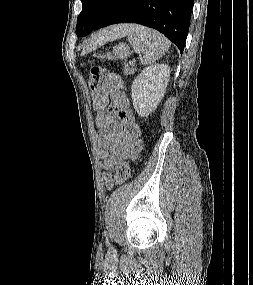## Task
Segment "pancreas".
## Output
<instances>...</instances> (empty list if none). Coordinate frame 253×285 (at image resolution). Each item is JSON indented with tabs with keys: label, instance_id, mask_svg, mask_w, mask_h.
I'll list each match as a JSON object with an SVG mask.
<instances>
[{
	"label": "pancreas",
	"instance_id": "obj_1",
	"mask_svg": "<svg viewBox=\"0 0 253 285\" xmlns=\"http://www.w3.org/2000/svg\"><path fill=\"white\" fill-rule=\"evenodd\" d=\"M134 71H135V68H133V67L132 68H129L127 66L124 67V74L125 75H131L134 73Z\"/></svg>",
	"mask_w": 253,
	"mask_h": 285
}]
</instances>
